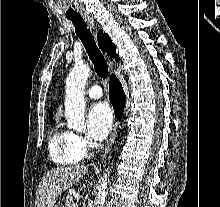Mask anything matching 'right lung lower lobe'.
I'll return each instance as SVG.
<instances>
[{
  "label": "right lung lower lobe",
  "mask_w": 220,
  "mask_h": 207,
  "mask_svg": "<svg viewBox=\"0 0 220 207\" xmlns=\"http://www.w3.org/2000/svg\"><path fill=\"white\" fill-rule=\"evenodd\" d=\"M109 96L114 107L116 117L121 118L125 106V93L120 81L112 76L109 82Z\"/></svg>",
  "instance_id": "1"
}]
</instances>
